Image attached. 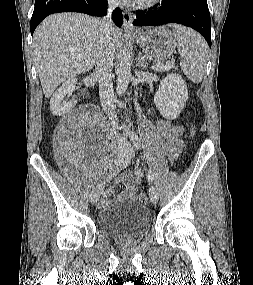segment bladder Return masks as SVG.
Masks as SVG:
<instances>
[{
	"label": "bladder",
	"mask_w": 253,
	"mask_h": 285,
	"mask_svg": "<svg viewBox=\"0 0 253 285\" xmlns=\"http://www.w3.org/2000/svg\"><path fill=\"white\" fill-rule=\"evenodd\" d=\"M101 231L117 240L136 239L150 228L151 214L135 201L111 204L102 208L98 214Z\"/></svg>",
	"instance_id": "obj_1"
}]
</instances>
